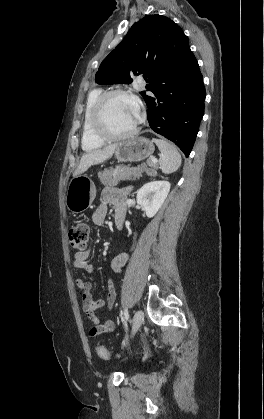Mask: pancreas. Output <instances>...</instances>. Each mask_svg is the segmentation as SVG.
<instances>
[{
	"mask_svg": "<svg viewBox=\"0 0 264 419\" xmlns=\"http://www.w3.org/2000/svg\"><path fill=\"white\" fill-rule=\"evenodd\" d=\"M147 165L153 168H157V165L152 162L151 159L147 160ZM147 171L146 164L129 167V166H116L115 168L104 169L98 173V177L101 183L106 188H113L121 180H135L142 176V173Z\"/></svg>",
	"mask_w": 264,
	"mask_h": 419,
	"instance_id": "1",
	"label": "pancreas"
}]
</instances>
